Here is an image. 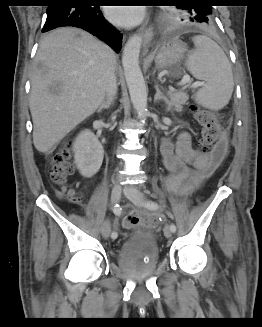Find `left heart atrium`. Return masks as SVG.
Listing matches in <instances>:
<instances>
[{
	"label": "left heart atrium",
	"instance_id": "1",
	"mask_svg": "<svg viewBox=\"0 0 262 327\" xmlns=\"http://www.w3.org/2000/svg\"><path fill=\"white\" fill-rule=\"evenodd\" d=\"M106 13L113 23L125 27L138 24L144 17L140 7H109Z\"/></svg>",
	"mask_w": 262,
	"mask_h": 327
}]
</instances>
